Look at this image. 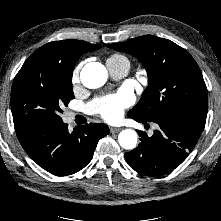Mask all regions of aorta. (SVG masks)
<instances>
[{
  "instance_id": "762f6f07",
  "label": "aorta",
  "mask_w": 221,
  "mask_h": 221,
  "mask_svg": "<svg viewBox=\"0 0 221 221\" xmlns=\"http://www.w3.org/2000/svg\"><path fill=\"white\" fill-rule=\"evenodd\" d=\"M82 84L90 89L102 87L108 78V72L104 65L99 62L86 64L80 73ZM138 135L132 129H125L119 133L118 142L120 146L127 150H132L137 145Z\"/></svg>"
}]
</instances>
